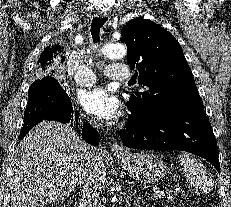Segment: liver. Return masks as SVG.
Wrapping results in <instances>:
<instances>
[{
  "mask_svg": "<svg viewBox=\"0 0 231 207\" xmlns=\"http://www.w3.org/2000/svg\"><path fill=\"white\" fill-rule=\"evenodd\" d=\"M85 165L84 142L70 124L39 123L19 143L12 158L11 207H44L63 200L75 190ZM95 176L102 188L106 179L103 163Z\"/></svg>",
  "mask_w": 231,
  "mask_h": 207,
  "instance_id": "1",
  "label": "liver"
}]
</instances>
